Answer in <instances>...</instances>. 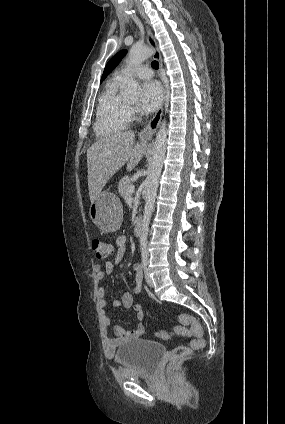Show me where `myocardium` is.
<instances>
[{"instance_id":"f54148a6","label":"myocardium","mask_w":285,"mask_h":424,"mask_svg":"<svg viewBox=\"0 0 285 424\" xmlns=\"http://www.w3.org/2000/svg\"><path fill=\"white\" fill-rule=\"evenodd\" d=\"M128 107H129V110H130L132 108V104L131 103H128Z\"/></svg>"}]
</instances>
